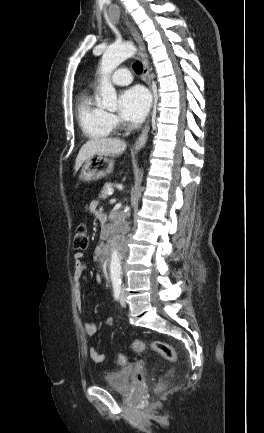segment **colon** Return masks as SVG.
<instances>
[{"label": "colon", "mask_w": 264, "mask_h": 433, "mask_svg": "<svg viewBox=\"0 0 264 433\" xmlns=\"http://www.w3.org/2000/svg\"><path fill=\"white\" fill-rule=\"evenodd\" d=\"M74 247L78 250H86L89 246V234L88 229L85 225H80L75 231ZM133 349L136 353H142L147 350L153 351L161 355L170 366V373L173 372L174 366L177 361V355L174 348L161 340H153L150 342H145L143 340H135L133 343ZM127 362V357L125 354H119L116 359L118 365H125Z\"/></svg>", "instance_id": "obj_1"}]
</instances>
